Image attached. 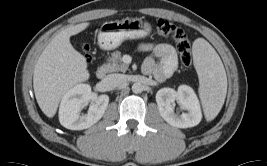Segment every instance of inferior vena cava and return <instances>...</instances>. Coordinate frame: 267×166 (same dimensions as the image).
Masks as SVG:
<instances>
[{"mask_svg":"<svg viewBox=\"0 0 267 166\" xmlns=\"http://www.w3.org/2000/svg\"><path fill=\"white\" fill-rule=\"evenodd\" d=\"M125 82L126 78L123 74H109L102 79V84L108 91L116 89Z\"/></svg>","mask_w":267,"mask_h":166,"instance_id":"obj_1","label":"inferior vena cava"}]
</instances>
